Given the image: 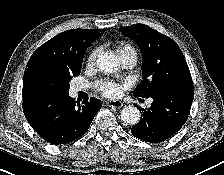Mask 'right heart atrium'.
Instances as JSON below:
<instances>
[{"label": "right heart atrium", "mask_w": 224, "mask_h": 175, "mask_svg": "<svg viewBox=\"0 0 224 175\" xmlns=\"http://www.w3.org/2000/svg\"><path fill=\"white\" fill-rule=\"evenodd\" d=\"M97 55H98V49H94L89 53V55L87 57V65L88 66L94 65Z\"/></svg>", "instance_id": "d8ad5b80"}]
</instances>
